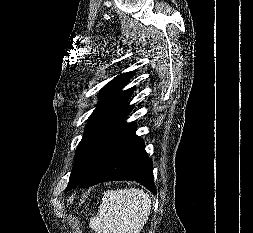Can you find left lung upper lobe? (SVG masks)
Here are the masks:
<instances>
[{
  "label": "left lung upper lobe",
  "instance_id": "obj_1",
  "mask_svg": "<svg viewBox=\"0 0 253 233\" xmlns=\"http://www.w3.org/2000/svg\"><path fill=\"white\" fill-rule=\"evenodd\" d=\"M134 72L117 76L101 89L100 101L88 121L76 153L67 188L77 185L90 171L101 149L130 113L126 101L133 89L122 91ZM66 188V189H67Z\"/></svg>",
  "mask_w": 253,
  "mask_h": 233
}]
</instances>
